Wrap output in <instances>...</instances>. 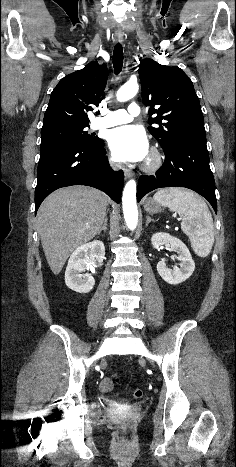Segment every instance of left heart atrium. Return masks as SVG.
<instances>
[{"label":"left heart atrium","instance_id":"1","mask_svg":"<svg viewBox=\"0 0 236 467\" xmlns=\"http://www.w3.org/2000/svg\"><path fill=\"white\" fill-rule=\"evenodd\" d=\"M108 143L114 158L118 161H141L148 156L149 145L143 129L124 125L110 131Z\"/></svg>","mask_w":236,"mask_h":467}]
</instances>
